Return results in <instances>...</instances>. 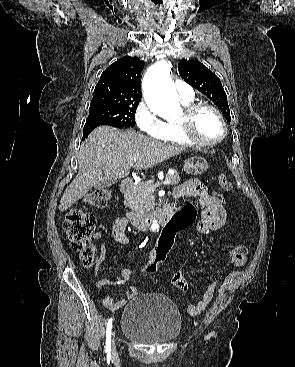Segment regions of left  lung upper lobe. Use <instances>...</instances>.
<instances>
[{
  "mask_svg": "<svg viewBox=\"0 0 295 367\" xmlns=\"http://www.w3.org/2000/svg\"><path fill=\"white\" fill-rule=\"evenodd\" d=\"M178 71L181 77L192 87L206 95L222 111L224 117L230 122V110L226 93L220 79L205 65L197 60L180 61Z\"/></svg>",
  "mask_w": 295,
  "mask_h": 367,
  "instance_id": "5c2ea615",
  "label": "left lung upper lobe"
}]
</instances>
